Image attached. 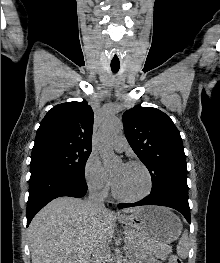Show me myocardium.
Masks as SVG:
<instances>
[{"instance_id": "myocardium-1", "label": "myocardium", "mask_w": 220, "mask_h": 263, "mask_svg": "<svg viewBox=\"0 0 220 263\" xmlns=\"http://www.w3.org/2000/svg\"><path fill=\"white\" fill-rule=\"evenodd\" d=\"M126 164L139 166L140 168L143 169V171L145 172V174L147 176V181H148L147 188H146L145 192L142 193L141 195H138V196H135V197L123 196L116 189L114 178L112 176V193H113L115 198H117L118 200H121L123 202H127V203L139 202V201L145 199L147 196H149L151 191H152V188H153V177H152V174H151L150 170L148 169V167L144 163H142L140 161L131 160V161H128Z\"/></svg>"}]
</instances>
